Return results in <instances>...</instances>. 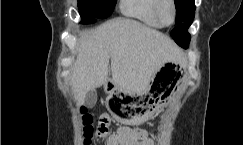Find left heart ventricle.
<instances>
[{
  "instance_id": "b2bd125f",
  "label": "left heart ventricle",
  "mask_w": 243,
  "mask_h": 145,
  "mask_svg": "<svg viewBox=\"0 0 243 145\" xmlns=\"http://www.w3.org/2000/svg\"><path fill=\"white\" fill-rule=\"evenodd\" d=\"M163 15L167 22L172 20V10L169 4H166L163 8Z\"/></svg>"
}]
</instances>
